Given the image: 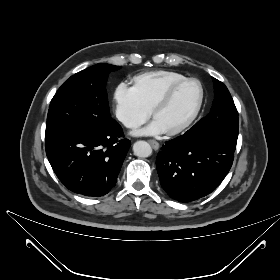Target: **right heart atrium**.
<instances>
[{"instance_id": "d8ad5b80", "label": "right heart atrium", "mask_w": 280, "mask_h": 280, "mask_svg": "<svg viewBox=\"0 0 280 280\" xmlns=\"http://www.w3.org/2000/svg\"><path fill=\"white\" fill-rule=\"evenodd\" d=\"M118 120L127 128H136L147 121L150 109L143 103L134 86L126 82L117 85L114 92Z\"/></svg>"}]
</instances>
